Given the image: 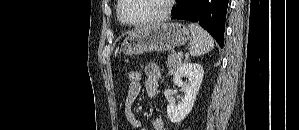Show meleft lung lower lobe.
I'll return each instance as SVG.
<instances>
[{
    "label": "left lung lower lobe",
    "instance_id": "left-lung-lower-lobe-1",
    "mask_svg": "<svg viewBox=\"0 0 299 130\" xmlns=\"http://www.w3.org/2000/svg\"><path fill=\"white\" fill-rule=\"evenodd\" d=\"M227 7L228 0H177L172 19L199 23L223 47Z\"/></svg>",
    "mask_w": 299,
    "mask_h": 130
}]
</instances>
